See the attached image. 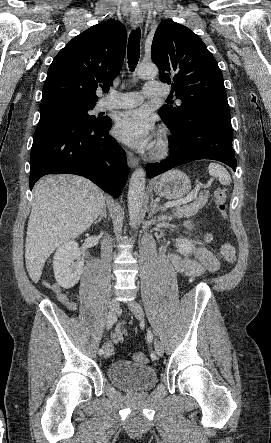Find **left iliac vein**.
<instances>
[{
    "instance_id": "4c4485c4",
    "label": "left iliac vein",
    "mask_w": 271,
    "mask_h": 443,
    "mask_svg": "<svg viewBox=\"0 0 271 443\" xmlns=\"http://www.w3.org/2000/svg\"><path fill=\"white\" fill-rule=\"evenodd\" d=\"M128 308L130 309V311L134 314V316L139 320V321H144V311L143 308L141 307V305L135 301H129L127 303ZM155 350L158 356H163L164 353V349L163 346L161 344L160 341L156 340L155 341Z\"/></svg>"
}]
</instances>
